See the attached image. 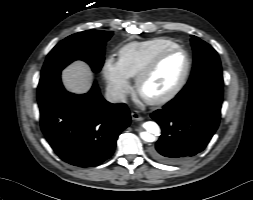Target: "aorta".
<instances>
[{"mask_svg": "<svg viewBox=\"0 0 253 200\" xmlns=\"http://www.w3.org/2000/svg\"><path fill=\"white\" fill-rule=\"evenodd\" d=\"M143 127L146 129V132L140 134L141 138L146 142H153L154 135L157 136L160 133L159 126L152 121L145 122Z\"/></svg>", "mask_w": 253, "mask_h": 200, "instance_id": "762f6f07", "label": "aorta"}]
</instances>
